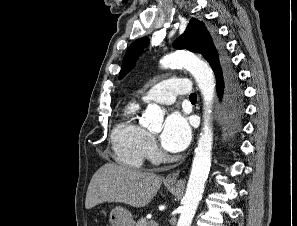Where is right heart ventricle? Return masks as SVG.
Listing matches in <instances>:
<instances>
[{"instance_id":"e07e8e85","label":"right heart ventricle","mask_w":297,"mask_h":226,"mask_svg":"<svg viewBox=\"0 0 297 226\" xmlns=\"http://www.w3.org/2000/svg\"><path fill=\"white\" fill-rule=\"evenodd\" d=\"M138 105L129 103L111 133L115 160L125 166L140 167L146 158L148 132L136 121Z\"/></svg>"}]
</instances>
